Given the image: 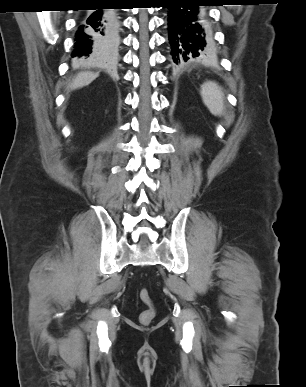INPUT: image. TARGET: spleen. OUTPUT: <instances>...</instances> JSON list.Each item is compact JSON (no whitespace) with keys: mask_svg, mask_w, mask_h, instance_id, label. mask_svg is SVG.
Here are the masks:
<instances>
[{"mask_svg":"<svg viewBox=\"0 0 306 387\" xmlns=\"http://www.w3.org/2000/svg\"><path fill=\"white\" fill-rule=\"evenodd\" d=\"M200 94L203 103L213 115L221 116L223 114L224 94L215 82H205L201 86Z\"/></svg>","mask_w":306,"mask_h":387,"instance_id":"spleen-1","label":"spleen"}]
</instances>
